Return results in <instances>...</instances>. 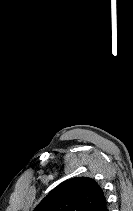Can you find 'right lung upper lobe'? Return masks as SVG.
<instances>
[{
  "instance_id": "obj_1",
  "label": "right lung upper lobe",
  "mask_w": 133,
  "mask_h": 211,
  "mask_svg": "<svg viewBox=\"0 0 133 211\" xmlns=\"http://www.w3.org/2000/svg\"><path fill=\"white\" fill-rule=\"evenodd\" d=\"M102 189L87 177L69 179L54 188L34 211H108Z\"/></svg>"
}]
</instances>
